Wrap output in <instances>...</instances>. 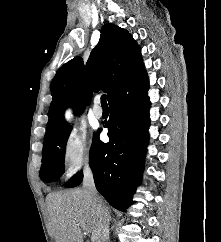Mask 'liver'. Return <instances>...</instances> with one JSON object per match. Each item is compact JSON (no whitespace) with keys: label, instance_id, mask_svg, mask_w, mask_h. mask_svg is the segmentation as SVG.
Wrapping results in <instances>:
<instances>
[{"label":"liver","instance_id":"6515ba94","mask_svg":"<svg viewBox=\"0 0 221 242\" xmlns=\"http://www.w3.org/2000/svg\"><path fill=\"white\" fill-rule=\"evenodd\" d=\"M47 209L55 242H83L84 228L94 239L95 215L84 189L49 194Z\"/></svg>","mask_w":221,"mask_h":242}]
</instances>
